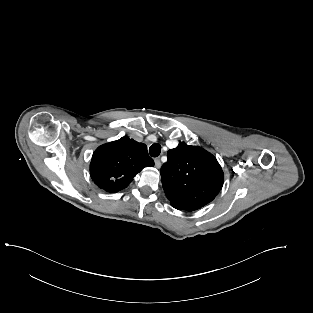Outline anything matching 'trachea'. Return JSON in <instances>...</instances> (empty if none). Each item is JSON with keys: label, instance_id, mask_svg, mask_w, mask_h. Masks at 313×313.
<instances>
[{"label": "trachea", "instance_id": "1", "mask_svg": "<svg viewBox=\"0 0 313 313\" xmlns=\"http://www.w3.org/2000/svg\"><path fill=\"white\" fill-rule=\"evenodd\" d=\"M149 153L152 157H158L161 153V146L157 143H154L149 148Z\"/></svg>", "mask_w": 313, "mask_h": 313}]
</instances>
